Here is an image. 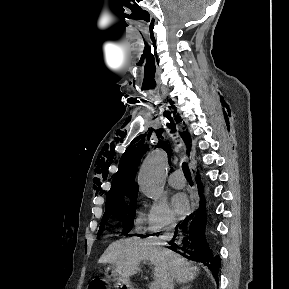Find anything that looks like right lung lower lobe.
<instances>
[{
  "label": "right lung lower lobe",
  "instance_id": "98d812e1",
  "mask_svg": "<svg viewBox=\"0 0 289 289\" xmlns=\"http://www.w3.org/2000/svg\"><path fill=\"white\" fill-rule=\"evenodd\" d=\"M196 180H199V176ZM198 185L201 187L199 182ZM206 220L205 201L202 192H200L197 207L185 220L177 224L175 235L169 244L176 247L173 250L184 257L207 265L218 282L220 258L213 256L205 239Z\"/></svg>",
  "mask_w": 289,
  "mask_h": 289
}]
</instances>
